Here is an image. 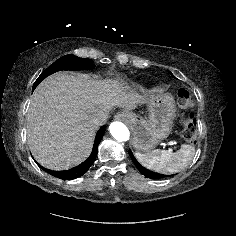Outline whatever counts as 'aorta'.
Returning <instances> with one entry per match:
<instances>
[{"label": "aorta", "mask_w": 236, "mask_h": 236, "mask_svg": "<svg viewBox=\"0 0 236 236\" xmlns=\"http://www.w3.org/2000/svg\"><path fill=\"white\" fill-rule=\"evenodd\" d=\"M109 131L113 138L118 141H127L129 139V130L125 124L119 121H114L109 126Z\"/></svg>", "instance_id": "obj_1"}]
</instances>
